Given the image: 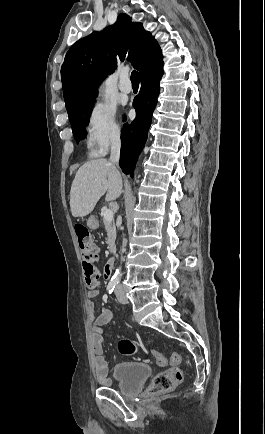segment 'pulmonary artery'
I'll use <instances>...</instances> for the list:
<instances>
[{"label":"pulmonary artery","mask_w":265,"mask_h":434,"mask_svg":"<svg viewBox=\"0 0 265 434\" xmlns=\"http://www.w3.org/2000/svg\"><path fill=\"white\" fill-rule=\"evenodd\" d=\"M121 79H122V80H128V79H129V73H128V72H125V73L122 75V78H121ZM118 87H119V89L121 90V92H123V93H125V94H128V93H130L131 90L133 89L134 84H133L132 81H120L119 84H118Z\"/></svg>","instance_id":"1"}]
</instances>
